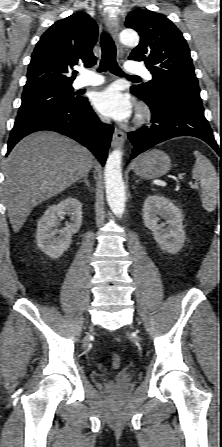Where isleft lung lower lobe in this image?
<instances>
[{
	"instance_id": "0a47b994",
	"label": "left lung lower lobe",
	"mask_w": 222,
	"mask_h": 447,
	"mask_svg": "<svg viewBox=\"0 0 222 447\" xmlns=\"http://www.w3.org/2000/svg\"><path fill=\"white\" fill-rule=\"evenodd\" d=\"M142 100L150 107L152 119L149 126H143L135 132L128 133L129 140L133 144L132 159L170 138L193 136L207 142L222 160V143L220 146L216 143L204 116L201 102L190 100L174 92L165 93L155 101Z\"/></svg>"
}]
</instances>
